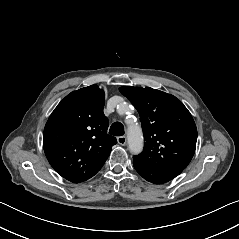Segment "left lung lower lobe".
Masks as SVG:
<instances>
[{
	"instance_id": "0a47b994",
	"label": "left lung lower lobe",
	"mask_w": 239,
	"mask_h": 239,
	"mask_svg": "<svg viewBox=\"0 0 239 239\" xmlns=\"http://www.w3.org/2000/svg\"><path fill=\"white\" fill-rule=\"evenodd\" d=\"M136 171L147 181L162 184L178 176L182 170L146 167L133 162Z\"/></svg>"
}]
</instances>
